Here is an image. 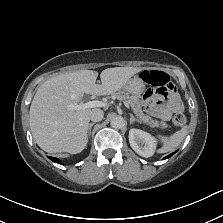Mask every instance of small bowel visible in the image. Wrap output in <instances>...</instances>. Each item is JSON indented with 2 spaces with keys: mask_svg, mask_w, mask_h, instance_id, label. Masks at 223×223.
<instances>
[{
  "mask_svg": "<svg viewBox=\"0 0 223 223\" xmlns=\"http://www.w3.org/2000/svg\"><path fill=\"white\" fill-rule=\"evenodd\" d=\"M143 105L147 111L159 120L164 127L174 112L183 109L179 96L174 88L156 86L146 91L142 97Z\"/></svg>",
  "mask_w": 223,
  "mask_h": 223,
  "instance_id": "small-bowel-1",
  "label": "small bowel"
}]
</instances>
